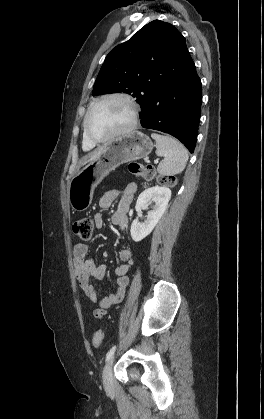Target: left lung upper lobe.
<instances>
[{"instance_id":"obj_1","label":"left lung upper lobe","mask_w":264,"mask_h":419,"mask_svg":"<svg viewBox=\"0 0 264 419\" xmlns=\"http://www.w3.org/2000/svg\"><path fill=\"white\" fill-rule=\"evenodd\" d=\"M182 38L169 23L155 20L146 24L106 56L93 94L123 91L136 97L142 109L152 85L173 70Z\"/></svg>"}]
</instances>
